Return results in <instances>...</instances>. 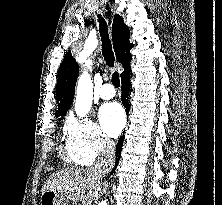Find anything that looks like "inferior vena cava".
Instances as JSON below:
<instances>
[{
    "mask_svg": "<svg viewBox=\"0 0 222 205\" xmlns=\"http://www.w3.org/2000/svg\"><path fill=\"white\" fill-rule=\"evenodd\" d=\"M115 164V143L110 139H105L94 171L99 175L109 173Z\"/></svg>",
    "mask_w": 222,
    "mask_h": 205,
    "instance_id": "1",
    "label": "inferior vena cava"
}]
</instances>
